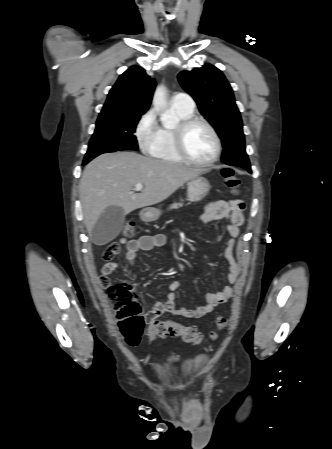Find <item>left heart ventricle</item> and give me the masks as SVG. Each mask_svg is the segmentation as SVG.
Listing matches in <instances>:
<instances>
[{
  "instance_id": "1",
  "label": "left heart ventricle",
  "mask_w": 332,
  "mask_h": 449,
  "mask_svg": "<svg viewBox=\"0 0 332 449\" xmlns=\"http://www.w3.org/2000/svg\"><path fill=\"white\" fill-rule=\"evenodd\" d=\"M188 154L199 161H207L215 152V142L210 131L202 124L191 126L185 134Z\"/></svg>"
}]
</instances>
